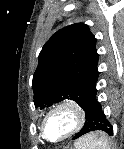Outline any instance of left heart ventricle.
<instances>
[{
	"mask_svg": "<svg viewBox=\"0 0 124 149\" xmlns=\"http://www.w3.org/2000/svg\"><path fill=\"white\" fill-rule=\"evenodd\" d=\"M72 116L67 112L53 115L46 124V132L50 139L56 140L63 137L72 127Z\"/></svg>",
	"mask_w": 124,
	"mask_h": 149,
	"instance_id": "b2bd125f",
	"label": "left heart ventricle"
}]
</instances>
